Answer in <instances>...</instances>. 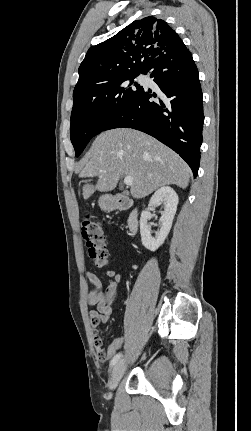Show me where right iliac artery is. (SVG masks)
<instances>
[{"instance_id":"right-iliac-artery-1","label":"right iliac artery","mask_w":251,"mask_h":431,"mask_svg":"<svg viewBox=\"0 0 251 431\" xmlns=\"http://www.w3.org/2000/svg\"><path fill=\"white\" fill-rule=\"evenodd\" d=\"M121 356H122L121 353L116 354L110 362L111 366H114L119 361Z\"/></svg>"}]
</instances>
